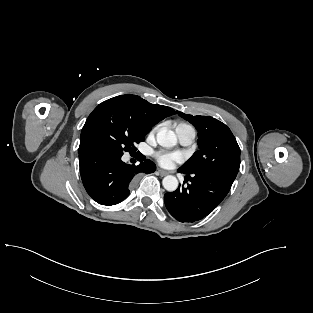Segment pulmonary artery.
Returning <instances> with one entry per match:
<instances>
[{
	"label": "pulmonary artery",
	"instance_id": "e3ab8cb5",
	"mask_svg": "<svg viewBox=\"0 0 313 313\" xmlns=\"http://www.w3.org/2000/svg\"><path fill=\"white\" fill-rule=\"evenodd\" d=\"M179 141L182 145L188 146L195 139V132L189 129H181L177 131Z\"/></svg>",
	"mask_w": 313,
	"mask_h": 313
}]
</instances>
